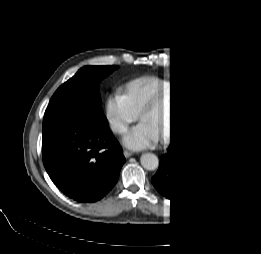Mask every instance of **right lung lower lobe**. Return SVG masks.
Returning a JSON list of instances; mask_svg holds the SVG:
<instances>
[{
	"label": "right lung lower lobe",
	"mask_w": 261,
	"mask_h": 254,
	"mask_svg": "<svg viewBox=\"0 0 261 254\" xmlns=\"http://www.w3.org/2000/svg\"><path fill=\"white\" fill-rule=\"evenodd\" d=\"M42 133L45 169L65 195L95 202L116 184L125 158L108 124L73 109L46 110Z\"/></svg>",
	"instance_id": "1"
}]
</instances>
